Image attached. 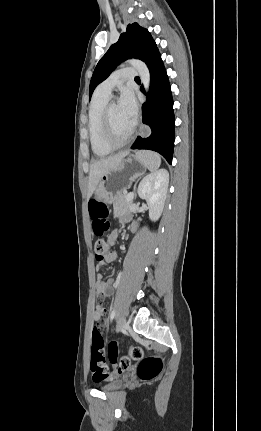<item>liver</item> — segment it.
Returning a JSON list of instances; mask_svg holds the SVG:
<instances>
[{
    "label": "liver",
    "mask_w": 261,
    "mask_h": 431,
    "mask_svg": "<svg viewBox=\"0 0 261 431\" xmlns=\"http://www.w3.org/2000/svg\"><path fill=\"white\" fill-rule=\"evenodd\" d=\"M128 154H129V151H123L114 156L100 159L91 165L89 179H88V193H87L88 200L95 192V189L99 185L102 179V176L115 170L119 166L121 161Z\"/></svg>",
    "instance_id": "1"
}]
</instances>
